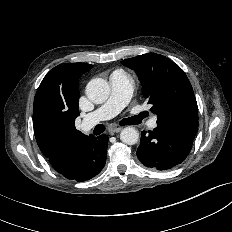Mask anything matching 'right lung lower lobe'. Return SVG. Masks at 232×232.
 Instances as JSON below:
<instances>
[{"mask_svg":"<svg viewBox=\"0 0 232 232\" xmlns=\"http://www.w3.org/2000/svg\"><path fill=\"white\" fill-rule=\"evenodd\" d=\"M108 137L93 135L74 143L65 166L57 170L69 180L86 181L100 173L106 163Z\"/></svg>","mask_w":232,"mask_h":232,"instance_id":"right-lung-lower-lobe-1","label":"right lung lower lobe"}]
</instances>
